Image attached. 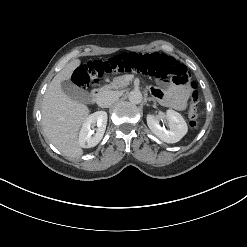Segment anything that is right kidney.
Returning <instances> with one entry per match:
<instances>
[{"label":"right kidney","instance_id":"1","mask_svg":"<svg viewBox=\"0 0 247 247\" xmlns=\"http://www.w3.org/2000/svg\"><path fill=\"white\" fill-rule=\"evenodd\" d=\"M107 113L105 111H98L89 115L84 121L79 133V146L82 148H91L96 146L103 138L107 125ZM97 125L96 132L91 130Z\"/></svg>","mask_w":247,"mask_h":247}]
</instances>
